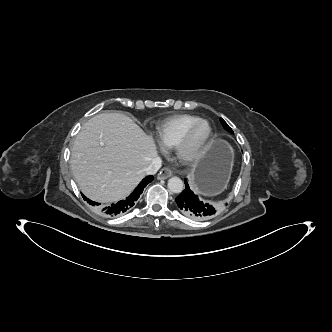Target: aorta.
I'll use <instances>...</instances> for the list:
<instances>
[{
  "instance_id": "obj_1",
  "label": "aorta",
  "mask_w": 332,
  "mask_h": 332,
  "mask_svg": "<svg viewBox=\"0 0 332 332\" xmlns=\"http://www.w3.org/2000/svg\"><path fill=\"white\" fill-rule=\"evenodd\" d=\"M168 188L172 193H181L184 189V183L179 177H171L168 180Z\"/></svg>"
}]
</instances>
